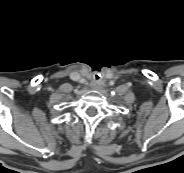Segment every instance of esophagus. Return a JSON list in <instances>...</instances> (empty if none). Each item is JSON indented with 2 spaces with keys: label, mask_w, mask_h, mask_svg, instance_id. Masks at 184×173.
Returning a JSON list of instances; mask_svg holds the SVG:
<instances>
[{
  "label": "esophagus",
  "mask_w": 184,
  "mask_h": 173,
  "mask_svg": "<svg viewBox=\"0 0 184 173\" xmlns=\"http://www.w3.org/2000/svg\"><path fill=\"white\" fill-rule=\"evenodd\" d=\"M91 86L92 88L97 89L100 85L98 83H92Z\"/></svg>",
  "instance_id": "1"
}]
</instances>
